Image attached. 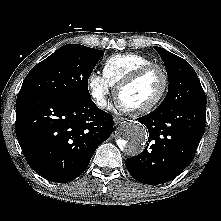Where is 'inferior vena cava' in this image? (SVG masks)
<instances>
[{"label": "inferior vena cava", "mask_w": 221, "mask_h": 221, "mask_svg": "<svg viewBox=\"0 0 221 221\" xmlns=\"http://www.w3.org/2000/svg\"><path fill=\"white\" fill-rule=\"evenodd\" d=\"M98 106L101 107V108H105L107 106V101L105 99H101L98 102Z\"/></svg>", "instance_id": "602c4592"}]
</instances>
